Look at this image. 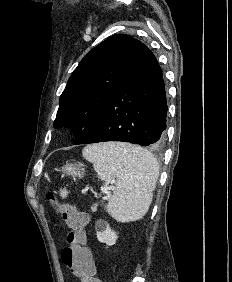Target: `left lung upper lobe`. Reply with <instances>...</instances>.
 Segmentation results:
<instances>
[{
    "instance_id": "left-lung-upper-lobe-1",
    "label": "left lung upper lobe",
    "mask_w": 232,
    "mask_h": 282,
    "mask_svg": "<svg viewBox=\"0 0 232 282\" xmlns=\"http://www.w3.org/2000/svg\"><path fill=\"white\" fill-rule=\"evenodd\" d=\"M146 46L129 35H113L90 50L71 74L60 96L55 128L69 127L75 141L98 122L107 101L135 68Z\"/></svg>"
}]
</instances>
